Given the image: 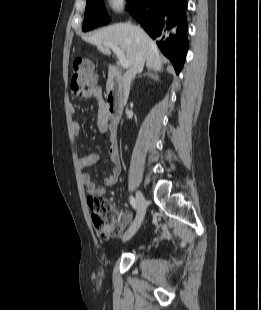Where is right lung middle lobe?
Listing matches in <instances>:
<instances>
[{"label":"right lung middle lobe","instance_id":"1","mask_svg":"<svg viewBox=\"0 0 261 310\" xmlns=\"http://www.w3.org/2000/svg\"><path fill=\"white\" fill-rule=\"evenodd\" d=\"M110 21L103 0H87L83 31L106 25Z\"/></svg>","mask_w":261,"mask_h":310}]
</instances>
